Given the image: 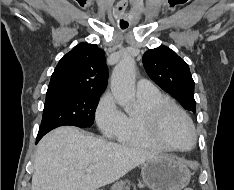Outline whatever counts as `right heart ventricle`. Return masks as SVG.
Returning <instances> with one entry per match:
<instances>
[{
  "label": "right heart ventricle",
  "mask_w": 234,
  "mask_h": 190,
  "mask_svg": "<svg viewBox=\"0 0 234 190\" xmlns=\"http://www.w3.org/2000/svg\"><path fill=\"white\" fill-rule=\"evenodd\" d=\"M137 100L140 110L135 114H124L122 126L116 135L117 140L130 147L159 151L166 150L164 146L153 138L144 114L156 104L171 100L158 90L146 95L137 94Z\"/></svg>",
  "instance_id": "1"
}]
</instances>
